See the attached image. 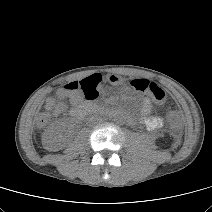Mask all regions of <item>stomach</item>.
Returning a JSON list of instances; mask_svg holds the SVG:
<instances>
[{
    "label": "stomach",
    "instance_id": "obj_1",
    "mask_svg": "<svg viewBox=\"0 0 212 212\" xmlns=\"http://www.w3.org/2000/svg\"><path fill=\"white\" fill-rule=\"evenodd\" d=\"M114 79H112V81H119V82H123L124 80L121 77H117V76H113Z\"/></svg>",
    "mask_w": 212,
    "mask_h": 212
}]
</instances>
